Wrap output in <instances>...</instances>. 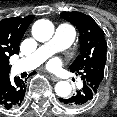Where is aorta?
Here are the masks:
<instances>
[{"mask_svg":"<svg viewBox=\"0 0 117 117\" xmlns=\"http://www.w3.org/2000/svg\"><path fill=\"white\" fill-rule=\"evenodd\" d=\"M54 25L49 20H38L32 27V35L39 42H45L52 38ZM72 87L67 81H60L55 85V92L61 98H66L71 94Z\"/></svg>","mask_w":117,"mask_h":117,"instance_id":"obj_1","label":"aorta"}]
</instances>
